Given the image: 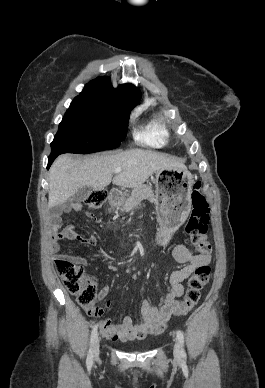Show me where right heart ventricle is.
Listing matches in <instances>:
<instances>
[{"label":"right heart ventricle","mask_w":265,"mask_h":388,"mask_svg":"<svg viewBox=\"0 0 265 388\" xmlns=\"http://www.w3.org/2000/svg\"><path fill=\"white\" fill-rule=\"evenodd\" d=\"M169 136V133L165 127L164 120L157 116L155 119L142 131L138 138L141 141L148 142L155 146L163 145Z\"/></svg>","instance_id":"e07e8e85"}]
</instances>
